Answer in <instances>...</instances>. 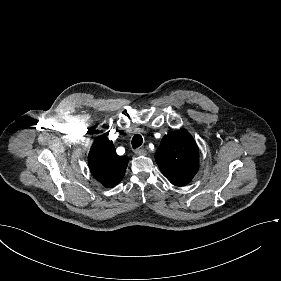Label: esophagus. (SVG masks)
<instances>
[{
  "label": "esophagus",
  "mask_w": 281,
  "mask_h": 281,
  "mask_svg": "<svg viewBox=\"0 0 281 281\" xmlns=\"http://www.w3.org/2000/svg\"><path fill=\"white\" fill-rule=\"evenodd\" d=\"M135 154L140 155V156H145V155H147V151H146V149L141 148V149L135 150Z\"/></svg>",
  "instance_id": "34e87169"
}]
</instances>
